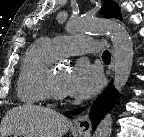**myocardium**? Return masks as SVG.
<instances>
[{"label": "myocardium", "instance_id": "f54148a6", "mask_svg": "<svg viewBox=\"0 0 144 137\" xmlns=\"http://www.w3.org/2000/svg\"><path fill=\"white\" fill-rule=\"evenodd\" d=\"M45 87L49 98L58 101H64L67 98L66 92H64L56 82L55 71L53 69H50L47 74Z\"/></svg>", "mask_w": 144, "mask_h": 137}]
</instances>
